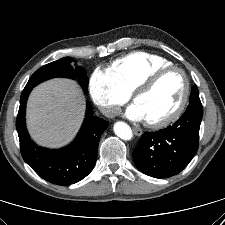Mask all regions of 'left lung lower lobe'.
Returning <instances> with one entry per match:
<instances>
[{
    "instance_id": "1",
    "label": "left lung lower lobe",
    "mask_w": 225,
    "mask_h": 225,
    "mask_svg": "<svg viewBox=\"0 0 225 225\" xmlns=\"http://www.w3.org/2000/svg\"><path fill=\"white\" fill-rule=\"evenodd\" d=\"M202 116L201 102H192L173 125L144 133L133 151L136 167L154 178L181 172L197 152Z\"/></svg>"
}]
</instances>
